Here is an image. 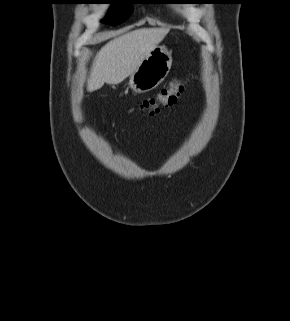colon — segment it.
<instances>
[{
	"label": "colon",
	"instance_id": "obj_1",
	"mask_svg": "<svg viewBox=\"0 0 290 321\" xmlns=\"http://www.w3.org/2000/svg\"><path fill=\"white\" fill-rule=\"evenodd\" d=\"M190 78H180L164 88L157 96L145 99L140 104V109L149 115L158 113L161 108L173 106L184 91Z\"/></svg>",
	"mask_w": 290,
	"mask_h": 321
}]
</instances>
